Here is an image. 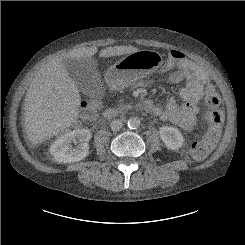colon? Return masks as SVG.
I'll list each match as a JSON object with an SVG mask.
<instances>
[{
    "label": "colon",
    "mask_w": 245,
    "mask_h": 245,
    "mask_svg": "<svg viewBox=\"0 0 245 245\" xmlns=\"http://www.w3.org/2000/svg\"><path fill=\"white\" fill-rule=\"evenodd\" d=\"M168 59L172 63H180L185 59V55L178 50H170L167 53ZM205 101L211 108L218 107L220 98L213 86L206 83ZM100 98L89 97L83 105L82 112L78 121V125H86L96 116V107L100 104ZM223 123V114L219 110H214L210 116V129L205 137L198 139L192 143L187 150L186 155L192 159L201 160L205 158L215 147L220 134Z\"/></svg>",
    "instance_id": "colon-1"
}]
</instances>
